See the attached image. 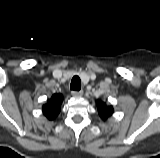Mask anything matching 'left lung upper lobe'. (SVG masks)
I'll use <instances>...</instances> for the list:
<instances>
[{
  "instance_id": "5c2ea615",
  "label": "left lung upper lobe",
  "mask_w": 160,
  "mask_h": 158,
  "mask_svg": "<svg viewBox=\"0 0 160 158\" xmlns=\"http://www.w3.org/2000/svg\"><path fill=\"white\" fill-rule=\"evenodd\" d=\"M97 105H98L99 115L103 120L109 118L114 112L112 106H107L106 103L102 102L101 100H97Z\"/></svg>"
}]
</instances>
